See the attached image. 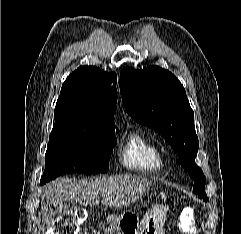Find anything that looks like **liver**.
Listing matches in <instances>:
<instances>
[{
    "instance_id": "6515ba94",
    "label": "liver",
    "mask_w": 241,
    "mask_h": 234,
    "mask_svg": "<svg viewBox=\"0 0 241 234\" xmlns=\"http://www.w3.org/2000/svg\"><path fill=\"white\" fill-rule=\"evenodd\" d=\"M152 184L151 179L131 174L81 179L71 183L68 179H57L47 184L41 194L42 224L39 234H44L55 223L57 212H65L77 203L98 205L99 195H102V204L106 207H127Z\"/></svg>"
}]
</instances>
